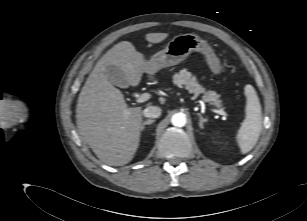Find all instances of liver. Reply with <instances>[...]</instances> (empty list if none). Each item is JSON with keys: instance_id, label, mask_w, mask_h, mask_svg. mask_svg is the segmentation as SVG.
<instances>
[{"instance_id": "6515ba94", "label": "liver", "mask_w": 307, "mask_h": 221, "mask_svg": "<svg viewBox=\"0 0 307 221\" xmlns=\"http://www.w3.org/2000/svg\"><path fill=\"white\" fill-rule=\"evenodd\" d=\"M167 36L149 33L145 38L160 43ZM107 66L119 67L131 86H137L145 72L152 79L157 69L131 42L122 41L96 63L79 94L76 122L82 139L105 164L123 166L133 159L139 146L142 107H128L122 92L108 80Z\"/></svg>"}]
</instances>
